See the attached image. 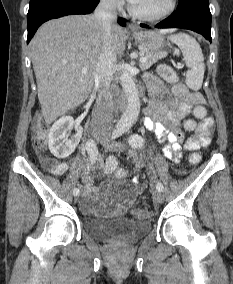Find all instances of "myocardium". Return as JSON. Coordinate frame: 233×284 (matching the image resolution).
Segmentation results:
<instances>
[{"mask_svg": "<svg viewBox=\"0 0 233 284\" xmlns=\"http://www.w3.org/2000/svg\"><path fill=\"white\" fill-rule=\"evenodd\" d=\"M176 6H177V0H169L167 7L163 11L157 14L149 15V14L141 13L138 10H136L133 5L129 6V11L133 16H135L136 18L140 20L148 21V22H155V21L163 20L169 15H171L175 11Z\"/></svg>", "mask_w": 233, "mask_h": 284, "instance_id": "1", "label": "myocardium"}]
</instances>
